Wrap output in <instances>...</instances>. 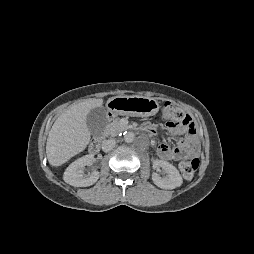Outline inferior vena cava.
<instances>
[{"mask_svg": "<svg viewBox=\"0 0 254 254\" xmlns=\"http://www.w3.org/2000/svg\"><path fill=\"white\" fill-rule=\"evenodd\" d=\"M116 141L114 139L104 140L102 142V150L104 152H110L115 147Z\"/></svg>", "mask_w": 254, "mask_h": 254, "instance_id": "602c4592", "label": "inferior vena cava"}]
</instances>
